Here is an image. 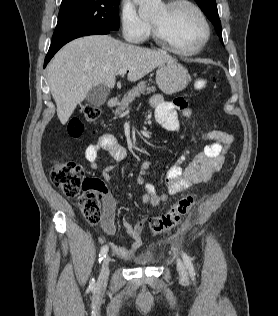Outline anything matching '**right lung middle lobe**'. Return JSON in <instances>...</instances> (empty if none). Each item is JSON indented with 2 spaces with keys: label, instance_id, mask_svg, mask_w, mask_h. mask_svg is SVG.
Listing matches in <instances>:
<instances>
[{
  "label": "right lung middle lobe",
  "instance_id": "dd1d6c3e",
  "mask_svg": "<svg viewBox=\"0 0 278 316\" xmlns=\"http://www.w3.org/2000/svg\"><path fill=\"white\" fill-rule=\"evenodd\" d=\"M119 2L120 0H62L52 43L87 31L118 30Z\"/></svg>",
  "mask_w": 278,
  "mask_h": 316
}]
</instances>
